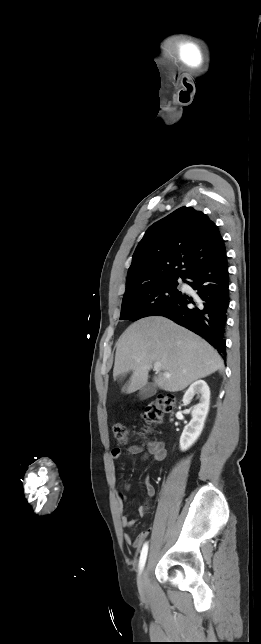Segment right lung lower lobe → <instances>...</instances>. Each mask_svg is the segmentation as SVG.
Returning <instances> with one entry per match:
<instances>
[{
	"label": "right lung lower lobe",
	"instance_id": "obj_1",
	"mask_svg": "<svg viewBox=\"0 0 261 644\" xmlns=\"http://www.w3.org/2000/svg\"><path fill=\"white\" fill-rule=\"evenodd\" d=\"M183 278L197 297L182 293L171 305L155 315L167 317L208 341L223 358L226 357L225 332L229 306V273L225 256L212 265L201 266Z\"/></svg>",
	"mask_w": 261,
	"mask_h": 644
}]
</instances>
